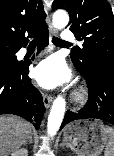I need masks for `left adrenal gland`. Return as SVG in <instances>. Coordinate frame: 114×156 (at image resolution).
I'll use <instances>...</instances> for the list:
<instances>
[{
  "label": "left adrenal gland",
  "mask_w": 114,
  "mask_h": 156,
  "mask_svg": "<svg viewBox=\"0 0 114 156\" xmlns=\"http://www.w3.org/2000/svg\"><path fill=\"white\" fill-rule=\"evenodd\" d=\"M65 145H66V144H65V141L63 140L62 143L60 144V146H61V147H64Z\"/></svg>",
  "instance_id": "left-adrenal-gland-1"
}]
</instances>
